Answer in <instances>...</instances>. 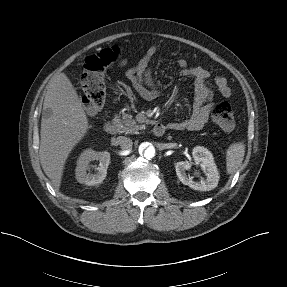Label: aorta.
<instances>
[{
  "label": "aorta",
  "instance_id": "aorta-1",
  "mask_svg": "<svg viewBox=\"0 0 287 287\" xmlns=\"http://www.w3.org/2000/svg\"><path fill=\"white\" fill-rule=\"evenodd\" d=\"M139 153L146 159H152L155 156V147L150 142H143L139 146Z\"/></svg>",
  "mask_w": 287,
  "mask_h": 287
}]
</instances>
